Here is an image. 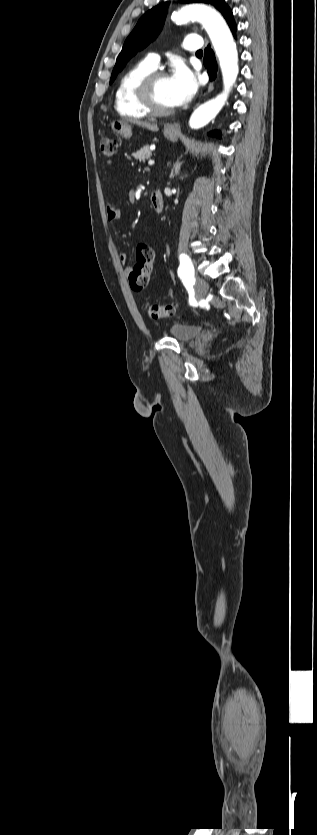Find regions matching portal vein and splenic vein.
Wrapping results in <instances>:
<instances>
[{
  "label": "portal vein and splenic vein",
  "mask_w": 317,
  "mask_h": 835,
  "mask_svg": "<svg viewBox=\"0 0 317 835\" xmlns=\"http://www.w3.org/2000/svg\"><path fill=\"white\" fill-rule=\"evenodd\" d=\"M151 149H155V147H151ZM148 165H149V166L154 165V161H153V160H149V161H148Z\"/></svg>",
  "instance_id": "portal-vein-and-splenic-vein-1"
}]
</instances>
